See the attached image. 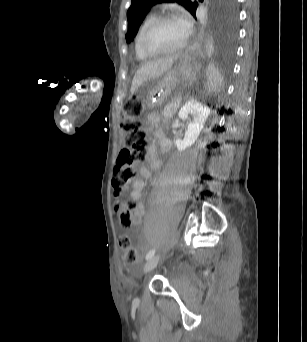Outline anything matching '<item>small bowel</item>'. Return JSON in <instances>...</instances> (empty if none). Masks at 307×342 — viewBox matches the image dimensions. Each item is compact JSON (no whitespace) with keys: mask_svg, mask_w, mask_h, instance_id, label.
<instances>
[{"mask_svg":"<svg viewBox=\"0 0 307 342\" xmlns=\"http://www.w3.org/2000/svg\"><path fill=\"white\" fill-rule=\"evenodd\" d=\"M149 129L158 137L160 149H158L154 144L150 145L147 152V162L151 169H159L162 165L160 159V152L167 151L171 147V142L166 138L161 131L155 128L154 124L149 121ZM151 176L150 170L145 167H140V176L135 177L132 181V187L130 190V197L135 204V217L133 220V225H139L145 214V205L143 202L142 191L145 186V179Z\"/></svg>","mask_w":307,"mask_h":342,"instance_id":"1","label":"small bowel"}]
</instances>
